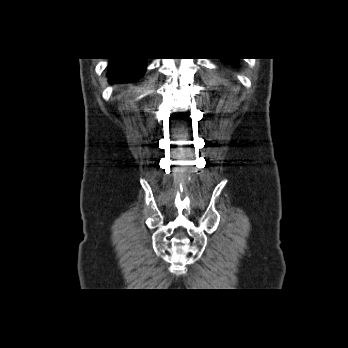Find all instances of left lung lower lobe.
I'll use <instances>...</instances> for the list:
<instances>
[{
    "label": "left lung lower lobe",
    "instance_id": "1",
    "mask_svg": "<svg viewBox=\"0 0 348 348\" xmlns=\"http://www.w3.org/2000/svg\"><path fill=\"white\" fill-rule=\"evenodd\" d=\"M228 60L229 62H232L234 64H237V59L236 58H230V59H226Z\"/></svg>",
    "mask_w": 348,
    "mask_h": 348
}]
</instances>
